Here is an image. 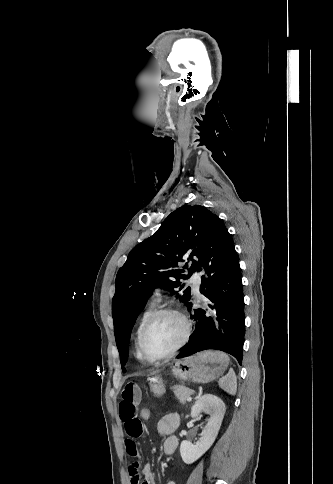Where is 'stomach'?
I'll return each mask as SVG.
<instances>
[{
    "instance_id": "obj_1",
    "label": "stomach",
    "mask_w": 333,
    "mask_h": 484,
    "mask_svg": "<svg viewBox=\"0 0 333 484\" xmlns=\"http://www.w3.org/2000/svg\"><path fill=\"white\" fill-rule=\"evenodd\" d=\"M228 364L229 358L225 353L204 351L176 360L171 370L173 376L182 384L207 383L223 375ZM148 376L151 391L155 395H162L164 393L162 374L151 372Z\"/></svg>"
}]
</instances>
